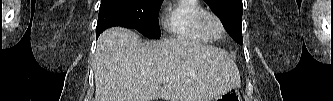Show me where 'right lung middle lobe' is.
Segmentation results:
<instances>
[{"instance_id": "obj_1", "label": "right lung middle lobe", "mask_w": 333, "mask_h": 101, "mask_svg": "<svg viewBox=\"0 0 333 101\" xmlns=\"http://www.w3.org/2000/svg\"><path fill=\"white\" fill-rule=\"evenodd\" d=\"M163 0H101L100 6L111 4L127 18L129 28L145 37L159 39L158 11Z\"/></svg>"}]
</instances>
